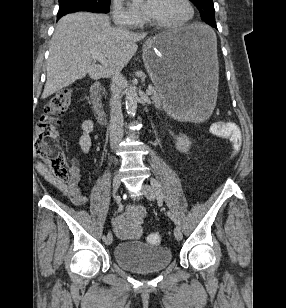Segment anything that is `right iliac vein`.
I'll return each mask as SVG.
<instances>
[{"label": "right iliac vein", "instance_id": "obj_1", "mask_svg": "<svg viewBox=\"0 0 286 308\" xmlns=\"http://www.w3.org/2000/svg\"><path fill=\"white\" fill-rule=\"evenodd\" d=\"M112 186H113V193L115 195L120 187V179H119L117 171H115L114 173ZM112 240H113L112 234L108 233L105 239V244L107 246L110 245L112 243Z\"/></svg>", "mask_w": 286, "mask_h": 308}]
</instances>
